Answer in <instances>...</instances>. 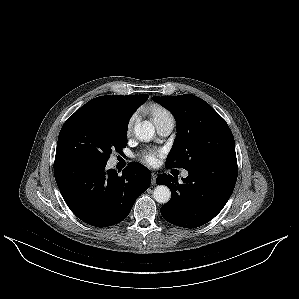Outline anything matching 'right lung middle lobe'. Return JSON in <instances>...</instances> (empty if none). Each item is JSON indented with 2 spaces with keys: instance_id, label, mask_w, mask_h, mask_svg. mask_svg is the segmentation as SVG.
Wrapping results in <instances>:
<instances>
[{
  "instance_id": "obj_1",
  "label": "right lung middle lobe",
  "mask_w": 299,
  "mask_h": 299,
  "mask_svg": "<svg viewBox=\"0 0 299 299\" xmlns=\"http://www.w3.org/2000/svg\"><path fill=\"white\" fill-rule=\"evenodd\" d=\"M128 122L129 118L109 110L80 108L64 123L56 156L107 163L112 151L120 153L126 147Z\"/></svg>"
}]
</instances>
